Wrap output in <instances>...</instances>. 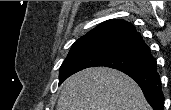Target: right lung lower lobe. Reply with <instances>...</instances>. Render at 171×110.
Segmentation results:
<instances>
[{
    "label": "right lung lower lobe",
    "instance_id": "right-lung-lower-lobe-1",
    "mask_svg": "<svg viewBox=\"0 0 171 110\" xmlns=\"http://www.w3.org/2000/svg\"><path fill=\"white\" fill-rule=\"evenodd\" d=\"M156 67L144 71L130 70L124 73L138 83L146 100L154 110H164V95Z\"/></svg>",
    "mask_w": 171,
    "mask_h": 110
}]
</instances>
